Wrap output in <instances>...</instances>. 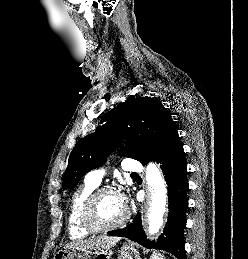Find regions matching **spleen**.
<instances>
[{"mask_svg": "<svg viewBox=\"0 0 248 259\" xmlns=\"http://www.w3.org/2000/svg\"><path fill=\"white\" fill-rule=\"evenodd\" d=\"M153 259H164V257L160 253H154Z\"/></svg>", "mask_w": 248, "mask_h": 259, "instance_id": "1", "label": "spleen"}]
</instances>
